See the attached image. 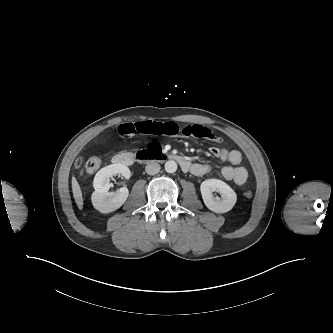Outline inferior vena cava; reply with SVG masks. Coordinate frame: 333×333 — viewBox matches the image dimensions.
Here are the masks:
<instances>
[{
    "label": "inferior vena cava",
    "mask_w": 333,
    "mask_h": 333,
    "mask_svg": "<svg viewBox=\"0 0 333 333\" xmlns=\"http://www.w3.org/2000/svg\"><path fill=\"white\" fill-rule=\"evenodd\" d=\"M160 169H161L160 165L155 162L147 164L145 168L146 173L149 175H155L159 173Z\"/></svg>",
    "instance_id": "602c4592"
}]
</instances>
